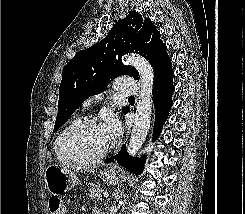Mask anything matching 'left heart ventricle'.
<instances>
[{
	"mask_svg": "<svg viewBox=\"0 0 245 214\" xmlns=\"http://www.w3.org/2000/svg\"><path fill=\"white\" fill-rule=\"evenodd\" d=\"M110 147L99 126H87L78 131L71 141L72 150L78 155L94 157Z\"/></svg>",
	"mask_w": 245,
	"mask_h": 214,
	"instance_id": "obj_1",
	"label": "left heart ventricle"
}]
</instances>
